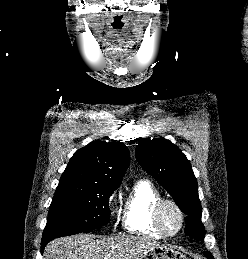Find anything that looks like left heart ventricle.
<instances>
[{
  "instance_id": "left-heart-ventricle-1",
  "label": "left heart ventricle",
  "mask_w": 248,
  "mask_h": 259,
  "mask_svg": "<svg viewBox=\"0 0 248 259\" xmlns=\"http://www.w3.org/2000/svg\"><path fill=\"white\" fill-rule=\"evenodd\" d=\"M162 222L169 233H174L180 226V217L178 212L170 205L164 207L162 211Z\"/></svg>"
}]
</instances>
